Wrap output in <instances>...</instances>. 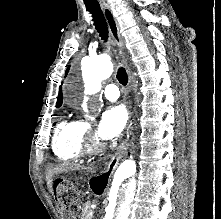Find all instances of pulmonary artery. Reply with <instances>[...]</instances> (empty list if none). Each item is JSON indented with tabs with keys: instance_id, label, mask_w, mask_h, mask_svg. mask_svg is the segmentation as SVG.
Here are the masks:
<instances>
[{
	"instance_id": "pulmonary-artery-1",
	"label": "pulmonary artery",
	"mask_w": 221,
	"mask_h": 219,
	"mask_svg": "<svg viewBox=\"0 0 221 219\" xmlns=\"http://www.w3.org/2000/svg\"><path fill=\"white\" fill-rule=\"evenodd\" d=\"M104 96L110 100V101H115L119 98L120 93L119 89L116 85L114 84H109L103 89Z\"/></svg>"
}]
</instances>
